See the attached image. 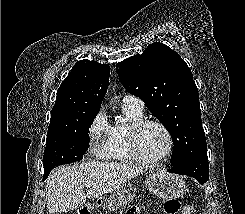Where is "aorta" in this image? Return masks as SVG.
<instances>
[{"mask_svg": "<svg viewBox=\"0 0 245 214\" xmlns=\"http://www.w3.org/2000/svg\"><path fill=\"white\" fill-rule=\"evenodd\" d=\"M116 121H117V122H121L122 120H121L120 117H116Z\"/></svg>", "mask_w": 245, "mask_h": 214, "instance_id": "obj_1", "label": "aorta"}]
</instances>
